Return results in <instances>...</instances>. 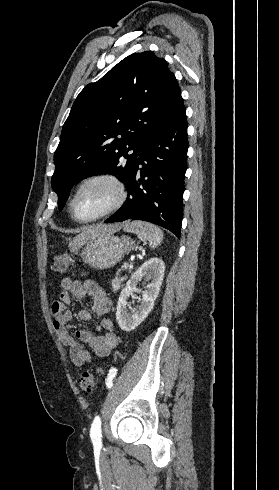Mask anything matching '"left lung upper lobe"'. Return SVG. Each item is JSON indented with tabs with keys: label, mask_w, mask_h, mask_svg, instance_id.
Masks as SVG:
<instances>
[{
	"label": "left lung upper lobe",
	"mask_w": 279,
	"mask_h": 490,
	"mask_svg": "<svg viewBox=\"0 0 279 490\" xmlns=\"http://www.w3.org/2000/svg\"><path fill=\"white\" fill-rule=\"evenodd\" d=\"M180 100L167 62L150 51L127 56L88 84L73 103L54 154L51 185L59 210L85 176L111 172L127 186L152 129Z\"/></svg>",
	"instance_id": "5c2ea615"
}]
</instances>
